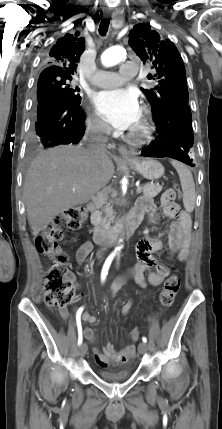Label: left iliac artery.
I'll list each match as a JSON object with an SVG mask.
<instances>
[{"mask_svg":"<svg viewBox=\"0 0 222 429\" xmlns=\"http://www.w3.org/2000/svg\"><path fill=\"white\" fill-rule=\"evenodd\" d=\"M142 341L147 343V338L146 337H142Z\"/></svg>","mask_w":222,"mask_h":429,"instance_id":"obj_1","label":"left iliac artery"}]
</instances>
